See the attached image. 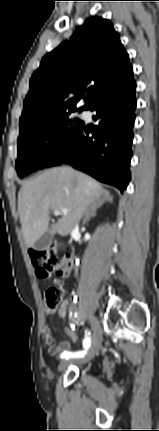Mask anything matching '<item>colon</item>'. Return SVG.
<instances>
[{"mask_svg":"<svg viewBox=\"0 0 159 431\" xmlns=\"http://www.w3.org/2000/svg\"><path fill=\"white\" fill-rule=\"evenodd\" d=\"M33 262L36 267L37 275L40 278H47L52 271L56 268L58 257L54 249L45 248L32 253ZM61 280L56 279L54 284L51 285L45 292L44 302L48 312H53L63 297V289L61 287ZM65 337L73 345H78L79 335L74 329H66Z\"/></svg>","mask_w":159,"mask_h":431,"instance_id":"5ec220e1","label":"colon"}]
</instances>
